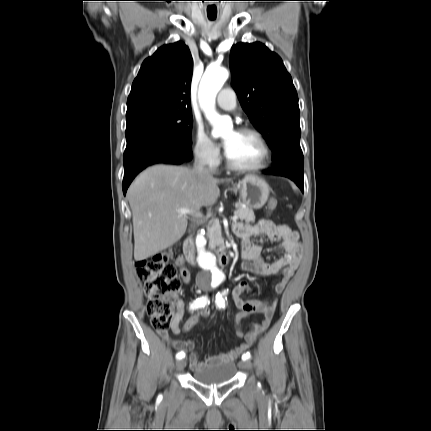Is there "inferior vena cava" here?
<instances>
[{"instance_id":"inferior-vena-cava-1","label":"inferior vena cava","mask_w":431,"mask_h":431,"mask_svg":"<svg viewBox=\"0 0 431 431\" xmlns=\"http://www.w3.org/2000/svg\"><path fill=\"white\" fill-rule=\"evenodd\" d=\"M204 161L202 159H195V162L193 164V171L199 173V174H205L207 176H211L208 170L204 168Z\"/></svg>"}]
</instances>
